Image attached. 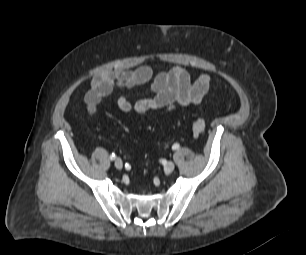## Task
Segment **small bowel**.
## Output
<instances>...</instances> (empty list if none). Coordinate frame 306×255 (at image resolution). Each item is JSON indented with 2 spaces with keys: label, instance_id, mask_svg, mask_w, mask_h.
Instances as JSON below:
<instances>
[{
  "label": "small bowel",
  "instance_id": "c3829d8e",
  "mask_svg": "<svg viewBox=\"0 0 306 255\" xmlns=\"http://www.w3.org/2000/svg\"><path fill=\"white\" fill-rule=\"evenodd\" d=\"M149 82V97L139 98L132 103L126 95H121L117 100L119 110L139 117L156 109L172 112L179 106L202 102L211 86L208 74H202L194 79L191 73L182 67H173L155 76L153 69L148 65L133 70L107 71L92 78L85 96L87 111L90 115H95L102 98L110 95L116 88L132 89Z\"/></svg>",
  "mask_w": 306,
  "mask_h": 255
}]
</instances>
